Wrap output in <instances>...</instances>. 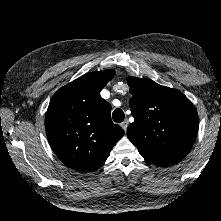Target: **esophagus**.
<instances>
[{"label":"esophagus","mask_w":221,"mask_h":221,"mask_svg":"<svg viewBox=\"0 0 221 221\" xmlns=\"http://www.w3.org/2000/svg\"><path fill=\"white\" fill-rule=\"evenodd\" d=\"M128 124H129L128 120H125L121 123V127L123 128L124 131L127 130Z\"/></svg>","instance_id":"1"}]
</instances>
